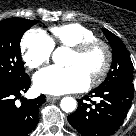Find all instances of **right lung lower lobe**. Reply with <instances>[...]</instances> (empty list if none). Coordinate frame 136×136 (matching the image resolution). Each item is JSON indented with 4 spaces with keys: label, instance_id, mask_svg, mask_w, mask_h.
<instances>
[{
    "label": "right lung lower lobe",
    "instance_id": "1",
    "mask_svg": "<svg viewBox=\"0 0 136 136\" xmlns=\"http://www.w3.org/2000/svg\"><path fill=\"white\" fill-rule=\"evenodd\" d=\"M30 84L28 77L11 88H0V136H28L38 123L39 107L45 101V95L25 99L20 107L15 105L16 99H20Z\"/></svg>",
    "mask_w": 136,
    "mask_h": 136
}]
</instances>
